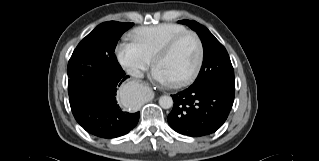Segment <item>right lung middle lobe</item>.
I'll return each mask as SVG.
<instances>
[{
    "label": "right lung middle lobe",
    "instance_id": "dd1d6c3e",
    "mask_svg": "<svg viewBox=\"0 0 319 161\" xmlns=\"http://www.w3.org/2000/svg\"><path fill=\"white\" fill-rule=\"evenodd\" d=\"M132 26L133 23L104 22L78 44L68 62L69 96L90 79L119 68L114 50L122 34Z\"/></svg>",
    "mask_w": 319,
    "mask_h": 161
}]
</instances>
